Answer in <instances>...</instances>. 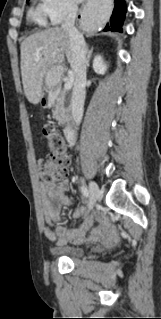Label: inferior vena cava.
<instances>
[{"label":"inferior vena cava","mask_w":161,"mask_h":319,"mask_svg":"<svg viewBox=\"0 0 161 319\" xmlns=\"http://www.w3.org/2000/svg\"><path fill=\"white\" fill-rule=\"evenodd\" d=\"M78 7L71 3L68 6V14L62 24L68 35L72 50L71 67L75 75V83L71 97V113L77 125L80 124L83 117L85 86H86V69H87V47L82 34L75 28V19Z\"/></svg>","instance_id":"inferior-vena-cava-1"}]
</instances>
